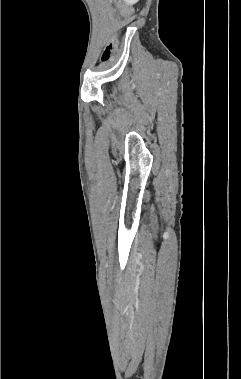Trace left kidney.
<instances>
[{
	"label": "left kidney",
	"instance_id": "obj_1",
	"mask_svg": "<svg viewBox=\"0 0 241 379\" xmlns=\"http://www.w3.org/2000/svg\"><path fill=\"white\" fill-rule=\"evenodd\" d=\"M128 5H133L137 3L139 0H124Z\"/></svg>",
	"mask_w": 241,
	"mask_h": 379
}]
</instances>
